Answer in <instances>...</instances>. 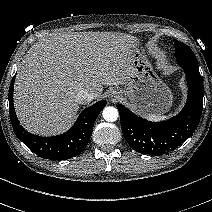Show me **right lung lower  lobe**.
<instances>
[{
    "mask_svg": "<svg viewBox=\"0 0 212 212\" xmlns=\"http://www.w3.org/2000/svg\"><path fill=\"white\" fill-rule=\"evenodd\" d=\"M15 76L9 88V112L13 130L20 141L42 158L65 160L79 155L87 146L92 135L96 118L106 106L101 100L84 109L74 126L66 133L53 137H40L27 132L19 123L13 104V88Z\"/></svg>",
    "mask_w": 212,
    "mask_h": 212,
    "instance_id": "right-lung-lower-lobe-1",
    "label": "right lung lower lobe"
}]
</instances>
